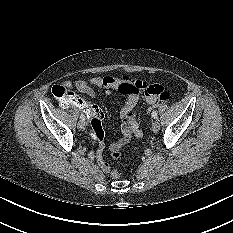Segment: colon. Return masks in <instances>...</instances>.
I'll return each mask as SVG.
<instances>
[{
    "instance_id": "1",
    "label": "colon",
    "mask_w": 233,
    "mask_h": 233,
    "mask_svg": "<svg viewBox=\"0 0 233 233\" xmlns=\"http://www.w3.org/2000/svg\"><path fill=\"white\" fill-rule=\"evenodd\" d=\"M53 95L60 99L59 104L62 108L67 109L70 106L78 109L79 111L85 113L88 117L91 118V137L92 139L100 142L103 139V112L96 105L92 104L90 101L85 100L62 85H56L52 88ZM145 93L150 96H154L153 100L149 104V109L158 106L163 103H167L171 100V94L164 90L160 85L154 84L145 87ZM114 158L120 157V151L112 153ZM114 178L119 177L117 170H114L112 173Z\"/></svg>"
}]
</instances>
